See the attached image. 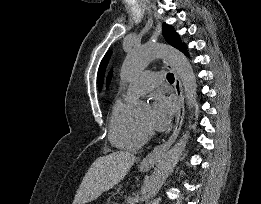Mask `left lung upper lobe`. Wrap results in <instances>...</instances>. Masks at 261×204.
Here are the masks:
<instances>
[{
    "instance_id": "obj_1",
    "label": "left lung upper lobe",
    "mask_w": 261,
    "mask_h": 204,
    "mask_svg": "<svg viewBox=\"0 0 261 204\" xmlns=\"http://www.w3.org/2000/svg\"><path fill=\"white\" fill-rule=\"evenodd\" d=\"M163 36L165 40L172 45L173 47L181 50L184 47V44L181 43L179 35L174 31L173 27L164 23L163 24ZM111 56V51H108L104 58L101 61V64L99 66L98 70V84L102 86L103 82V76L105 73V69L107 66V63L109 61V58Z\"/></svg>"
}]
</instances>
